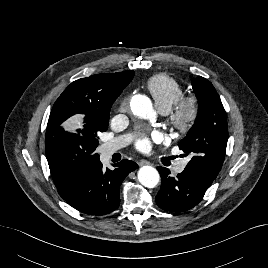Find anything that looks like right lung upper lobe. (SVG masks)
Wrapping results in <instances>:
<instances>
[{
  "label": "right lung upper lobe",
  "mask_w": 268,
  "mask_h": 268,
  "mask_svg": "<svg viewBox=\"0 0 268 268\" xmlns=\"http://www.w3.org/2000/svg\"><path fill=\"white\" fill-rule=\"evenodd\" d=\"M133 76L134 71L127 70L112 74L92 75L76 80L64 90L55 105H62L65 120L74 115L84 117L83 128L90 122L109 119L113 102L131 82ZM58 128H61V125ZM54 181L62 198L75 185V183L65 184L56 179Z\"/></svg>",
  "instance_id": "cb5924a9"
}]
</instances>
